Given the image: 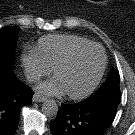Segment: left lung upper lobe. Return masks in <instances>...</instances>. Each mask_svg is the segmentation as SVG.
<instances>
[{
    "mask_svg": "<svg viewBox=\"0 0 135 135\" xmlns=\"http://www.w3.org/2000/svg\"><path fill=\"white\" fill-rule=\"evenodd\" d=\"M111 89L119 90V72L118 70H113L106 80V82L96 91L97 93L100 92H107Z\"/></svg>",
    "mask_w": 135,
    "mask_h": 135,
    "instance_id": "obj_1",
    "label": "left lung upper lobe"
}]
</instances>
